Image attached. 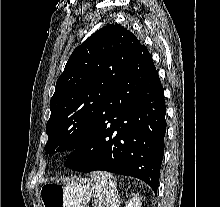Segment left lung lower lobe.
Instances as JSON below:
<instances>
[{
	"mask_svg": "<svg viewBox=\"0 0 220 207\" xmlns=\"http://www.w3.org/2000/svg\"><path fill=\"white\" fill-rule=\"evenodd\" d=\"M166 106L158 72L145 45L110 92L90 134L66 160L82 172L132 176L156 193L164 154Z\"/></svg>",
	"mask_w": 220,
	"mask_h": 207,
	"instance_id": "left-lung-lower-lobe-1",
	"label": "left lung lower lobe"
}]
</instances>
